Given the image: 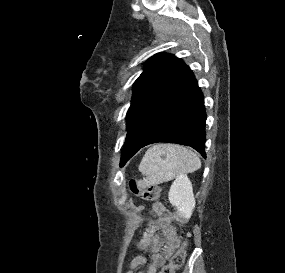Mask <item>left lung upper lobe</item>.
I'll return each mask as SVG.
<instances>
[{
  "label": "left lung upper lobe",
  "instance_id": "obj_1",
  "mask_svg": "<svg viewBox=\"0 0 285 273\" xmlns=\"http://www.w3.org/2000/svg\"><path fill=\"white\" fill-rule=\"evenodd\" d=\"M184 62L171 54L158 53L149 58L142 74L133 84L127 130L173 87L184 72Z\"/></svg>",
  "mask_w": 285,
  "mask_h": 273
}]
</instances>
